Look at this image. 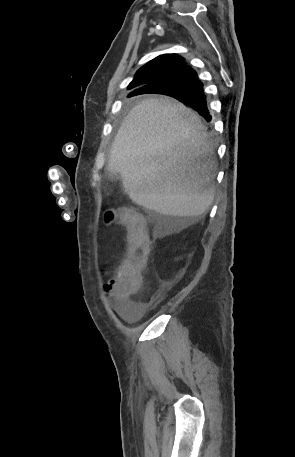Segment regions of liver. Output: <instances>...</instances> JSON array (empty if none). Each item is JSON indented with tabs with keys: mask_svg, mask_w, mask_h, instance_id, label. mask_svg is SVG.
Returning <instances> with one entry per match:
<instances>
[{
	"mask_svg": "<svg viewBox=\"0 0 295 457\" xmlns=\"http://www.w3.org/2000/svg\"><path fill=\"white\" fill-rule=\"evenodd\" d=\"M200 117L170 98L133 107L112 143L107 170L136 204L164 216L198 217L214 200V162Z\"/></svg>",
	"mask_w": 295,
	"mask_h": 457,
	"instance_id": "obj_1",
	"label": "liver"
}]
</instances>
